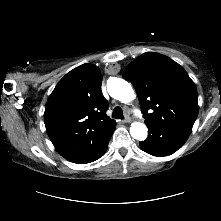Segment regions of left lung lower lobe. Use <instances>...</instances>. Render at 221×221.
<instances>
[{"instance_id":"1","label":"left lung lower lobe","mask_w":221,"mask_h":221,"mask_svg":"<svg viewBox=\"0 0 221 221\" xmlns=\"http://www.w3.org/2000/svg\"><path fill=\"white\" fill-rule=\"evenodd\" d=\"M149 135L139 143L141 149L153 156H167L176 152L188 139L191 129L146 123Z\"/></svg>"}]
</instances>
